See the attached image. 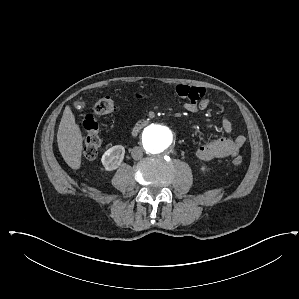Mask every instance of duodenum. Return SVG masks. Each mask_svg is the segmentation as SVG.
<instances>
[{
    "label": "duodenum",
    "mask_w": 299,
    "mask_h": 299,
    "mask_svg": "<svg viewBox=\"0 0 299 299\" xmlns=\"http://www.w3.org/2000/svg\"><path fill=\"white\" fill-rule=\"evenodd\" d=\"M149 122V119L147 118H143L140 119L134 126L133 131H132V135L136 136L138 134V132Z\"/></svg>",
    "instance_id": "duodenum-1"
}]
</instances>
